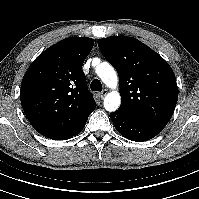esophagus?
<instances>
[{
  "label": "esophagus",
  "mask_w": 199,
  "mask_h": 199,
  "mask_svg": "<svg viewBox=\"0 0 199 199\" xmlns=\"http://www.w3.org/2000/svg\"><path fill=\"white\" fill-rule=\"evenodd\" d=\"M107 93H108V91H107L106 89H104V90L101 91L98 95H99V97L102 99Z\"/></svg>",
  "instance_id": "obj_1"
}]
</instances>
